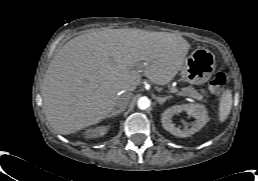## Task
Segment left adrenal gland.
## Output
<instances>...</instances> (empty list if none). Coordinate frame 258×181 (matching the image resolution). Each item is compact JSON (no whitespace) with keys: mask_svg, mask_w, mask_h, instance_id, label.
Wrapping results in <instances>:
<instances>
[{"mask_svg":"<svg viewBox=\"0 0 258 181\" xmlns=\"http://www.w3.org/2000/svg\"><path fill=\"white\" fill-rule=\"evenodd\" d=\"M171 96H166V97H156V100L158 101L159 104H163L166 102V100L170 99Z\"/></svg>","mask_w":258,"mask_h":181,"instance_id":"1","label":"left adrenal gland"}]
</instances>
